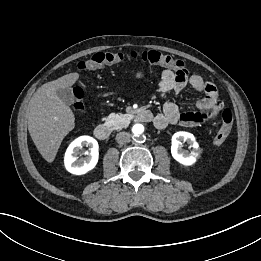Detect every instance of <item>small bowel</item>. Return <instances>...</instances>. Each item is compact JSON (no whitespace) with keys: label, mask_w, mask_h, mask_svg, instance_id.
Masks as SVG:
<instances>
[{"label":"small bowel","mask_w":261,"mask_h":261,"mask_svg":"<svg viewBox=\"0 0 261 261\" xmlns=\"http://www.w3.org/2000/svg\"><path fill=\"white\" fill-rule=\"evenodd\" d=\"M187 85L204 94L196 104L199 111L181 112L176 104L166 102L163 112L153 119L156 128L164 129L169 125L193 127L218 116L223 108V103L218 97L217 89L213 83L198 74L189 76L187 71L163 70L160 76L159 93L161 96L169 92L179 94Z\"/></svg>","instance_id":"obj_1"}]
</instances>
